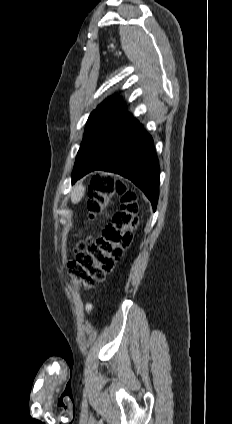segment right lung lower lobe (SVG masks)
Wrapping results in <instances>:
<instances>
[{
	"label": "right lung lower lobe",
	"mask_w": 232,
	"mask_h": 424,
	"mask_svg": "<svg viewBox=\"0 0 232 424\" xmlns=\"http://www.w3.org/2000/svg\"><path fill=\"white\" fill-rule=\"evenodd\" d=\"M94 170L114 172L131 180L144 192L155 211L159 195V162L153 139L139 121L132 119L114 131L82 172L72 177V184Z\"/></svg>",
	"instance_id": "98d812e1"
}]
</instances>
